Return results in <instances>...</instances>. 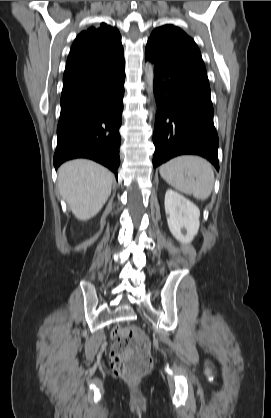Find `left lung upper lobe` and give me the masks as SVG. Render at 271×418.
<instances>
[{
	"mask_svg": "<svg viewBox=\"0 0 271 418\" xmlns=\"http://www.w3.org/2000/svg\"><path fill=\"white\" fill-rule=\"evenodd\" d=\"M148 42L170 56L206 71L196 43L180 28L173 25L158 27L152 32Z\"/></svg>",
	"mask_w": 271,
	"mask_h": 418,
	"instance_id": "obj_1",
	"label": "left lung upper lobe"
}]
</instances>
